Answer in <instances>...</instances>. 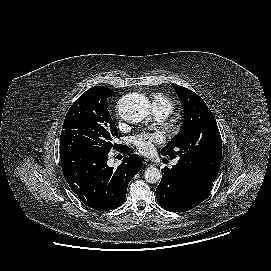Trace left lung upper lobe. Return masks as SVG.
Segmentation results:
<instances>
[{
    "label": "left lung upper lobe",
    "instance_id": "left-lung-upper-lobe-1",
    "mask_svg": "<svg viewBox=\"0 0 271 271\" xmlns=\"http://www.w3.org/2000/svg\"><path fill=\"white\" fill-rule=\"evenodd\" d=\"M172 87L180 98L184 123L161 153L178 155V165L214 182L222 159V141L215 117L196 93L177 84Z\"/></svg>",
    "mask_w": 271,
    "mask_h": 271
}]
</instances>
